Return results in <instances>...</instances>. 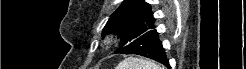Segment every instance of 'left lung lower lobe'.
Listing matches in <instances>:
<instances>
[{
    "instance_id": "obj_1",
    "label": "left lung lower lobe",
    "mask_w": 246,
    "mask_h": 69,
    "mask_svg": "<svg viewBox=\"0 0 246 69\" xmlns=\"http://www.w3.org/2000/svg\"><path fill=\"white\" fill-rule=\"evenodd\" d=\"M115 53L142 55L170 67L165 50L159 41L158 33L154 29L147 31L126 46L117 49Z\"/></svg>"
}]
</instances>
